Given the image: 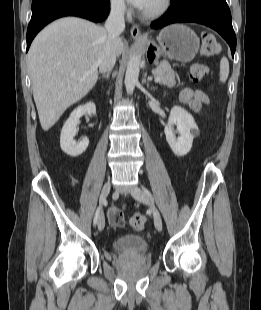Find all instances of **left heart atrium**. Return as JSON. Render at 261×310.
Segmentation results:
<instances>
[{"label": "left heart atrium", "mask_w": 261, "mask_h": 310, "mask_svg": "<svg viewBox=\"0 0 261 310\" xmlns=\"http://www.w3.org/2000/svg\"><path fill=\"white\" fill-rule=\"evenodd\" d=\"M134 7L143 10L147 5L149 0H127Z\"/></svg>", "instance_id": "1"}]
</instances>
